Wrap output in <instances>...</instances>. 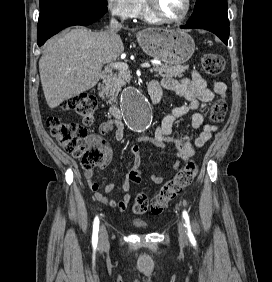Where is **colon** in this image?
I'll use <instances>...</instances> for the list:
<instances>
[{"mask_svg":"<svg viewBox=\"0 0 272 282\" xmlns=\"http://www.w3.org/2000/svg\"><path fill=\"white\" fill-rule=\"evenodd\" d=\"M201 66L208 75L217 76L224 69V61L219 55L206 53L201 58ZM96 107V99L83 92L70 98L59 107L62 110H70L78 114L83 120V125L63 121L54 115L46 120L51 134L58 144L72 157L79 159L82 167L87 170L99 167L104 160L102 146L98 143L86 142L88 139L87 126L93 123ZM226 111V101L217 99L211 109L213 121H221ZM197 172L198 165L194 161H190L173 179L164 184L152 199L149 200L144 193L137 194L133 203L134 213L144 214L149 211L154 214L162 213L171 200L191 185ZM130 180L135 184H139L141 181L136 172L130 173Z\"/></svg>","mask_w":272,"mask_h":282,"instance_id":"colon-1","label":"colon"}]
</instances>
